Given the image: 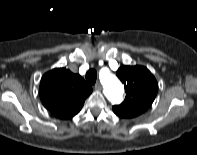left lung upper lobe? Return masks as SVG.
I'll return each mask as SVG.
<instances>
[{
    "mask_svg": "<svg viewBox=\"0 0 197 155\" xmlns=\"http://www.w3.org/2000/svg\"><path fill=\"white\" fill-rule=\"evenodd\" d=\"M116 75L124 84L127 95L123 103L113 106L114 113L121 118H133L145 112L158 90L152 73L143 66H122Z\"/></svg>",
    "mask_w": 197,
    "mask_h": 155,
    "instance_id": "obj_1",
    "label": "left lung upper lobe"
}]
</instances>
